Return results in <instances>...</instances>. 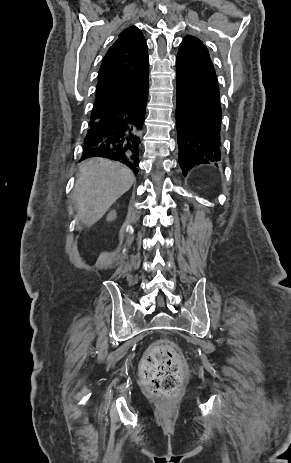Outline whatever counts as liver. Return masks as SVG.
<instances>
[{"mask_svg": "<svg viewBox=\"0 0 291 463\" xmlns=\"http://www.w3.org/2000/svg\"><path fill=\"white\" fill-rule=\"evenodd\" d=\"M79 169L73 191L77 220L90 227L131 188L135 176L121 163L103 158L87 159Z\"/></svg>", "mask_w": 291, "mask_h": 463, "instance_id": "1", "label": "liver"}]
</instances>
